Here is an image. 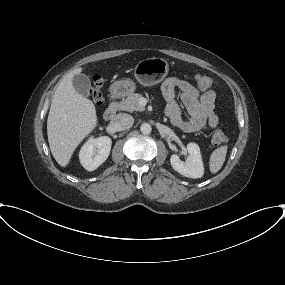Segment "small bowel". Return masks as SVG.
Masks as SVG:
<instances>
[{
  "label": "small bowel",
  "instance_id": "small-bowel-1",
  "mask_svg": "<svg viewBox=\"0 0 285 285\" xmlns=\"http://www.w3.org/2000/svg\"><path fill=\"white\" fill-rule=\"evenodd\" d=\"M176 90L180 92L181 101L190 115L187 121L182 119L181 109L175 98ZM161 91L167 102L165 113L175 126L186 132H195L218 125V117L214 113V91L206 90L200 93L196 87L178 77L166 79Z\"/></svg>",
  "mask_w": 285,
  "mask_h": 285
}]
</instances>
